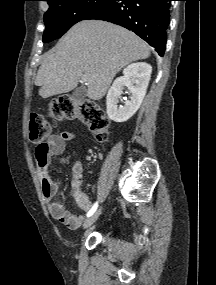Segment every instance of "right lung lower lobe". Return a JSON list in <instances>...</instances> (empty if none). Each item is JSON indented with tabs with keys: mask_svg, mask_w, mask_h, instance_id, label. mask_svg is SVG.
Returning <instances> with one entry per match:
<instances>
[{
	"mask_svg": "<svg viewBox=\"0 0 216 285\" xmlns=\"http://www.w3.org/2000/svg\"><path fill=\"white\" fill-rule=\"evenodd\" d=\"M172 0H110L86 19H99L132 30L163 56Z\"/></svg>",
	"mask_w": 216,
	"mask_h": 285,
	"instance_id": "98d812e1",
	"label": "right lung lower lobe"
}]
</instances>
